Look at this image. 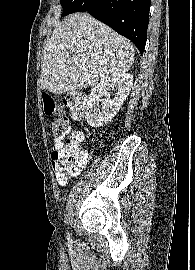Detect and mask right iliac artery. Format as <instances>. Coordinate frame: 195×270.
<instances>
[{"label":"right iliac artery","mask_w":195,"mask_h":270,"mask_svg":"<svg viewBox=\"0 0 195 270\" xmlns=\"http://www.w3.org/2000/svg\"><path fill=\"white\" fill-rule=\"evenodd\" d=\"M70 239V235H69V233H68V240Z\"/></svg>","instance_id":"obj_1"}]
</instances>
